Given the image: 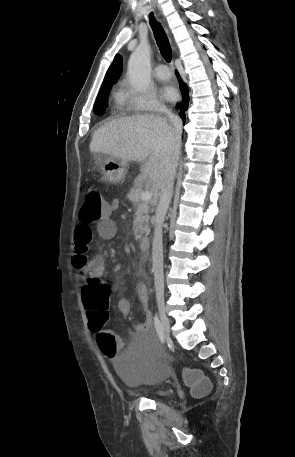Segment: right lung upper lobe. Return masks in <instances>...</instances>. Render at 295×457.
<instances>
[{
	"label": "right lung upper lobe",
	"instance_id": "right-lung-upper-lobe-1",
	"mask_svg": "<svg viewBox=\"0 0 295 457\" xmlns=\"http://www.w3.org/2000/svg\"><path fill=\"white\" fill-rule=\"evenodd\" d=\"M122 57L117 54L110 65L101 88L111 87L118 79L122 71Z\"/></svg>",
	"mask_w": 295,
	"mask_h": 457
}]
</instances>
